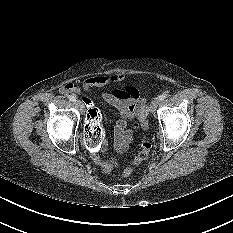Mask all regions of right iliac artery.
Returning a JSON list of instances; mask_svg holds the SVG:
<instances>
[{
    "label": "right iliac artery",
    "instance_id": "82829eb1",
    "mask_svg": "<svg viewBox=\"0 0 233 233\" xmlns=\"http://www.w3.org/2000/svg\"><path fill=\"white\" fill-rule=\"evenodd\" d=\"M69 100L72 101V102H75L76 101V96L70 95Z\"/></svg>",
    "mask_w": 233,
    "mask_h": 233
}]
</instances>
